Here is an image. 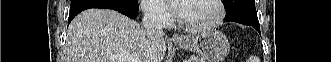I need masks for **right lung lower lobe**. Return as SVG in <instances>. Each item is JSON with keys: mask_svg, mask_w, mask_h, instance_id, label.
Returning a JSON list of instances; mask_svg holds the SVG:
<instances>
[{"mask_svg": "<svg viewBox=\"0 0 331 62\" xmlns=\"http://www.w3.org/2000/svg\"><path fill=\"white\" fill-rule=\"evenodd\" d=\"M90 8L113 9L130 18H135L138 15V10H131L126 7H123V6H120L117 4H113L110 2L89 1V2H84V3L70 7L68 24L78 13H80L86 9H90Z\"/></svg>", "mask_w": 331, "mask_h": 62, "instance_id": "obj_1", "label": "right lung lower lobe"}]
</instances>
